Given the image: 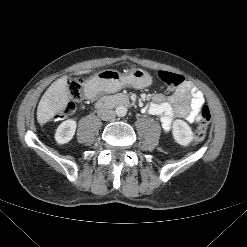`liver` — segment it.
Returning <instances> with one entry per match:
<instances>
[{"label": "liver", "mask_w": 247, "mask_h": 247, "mask_svg": "<svg viewBox=\"0 0 247 247\" xmlns=\"http://www.w3.org/2000/svg\"><path fill=\"white\" fill-rule=\"evenodd\" d=\"M91 70L77 71V75L88 74ZM69 89L67 76L53 82L43 94L37 107V121L40 124L48 122L56 114L65 110L69 102Z\"/></svg>", "instance_id": "obj_1"}]
</instances>
